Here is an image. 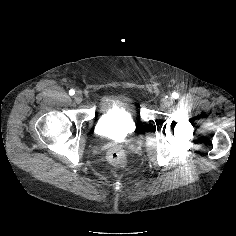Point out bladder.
Listing matches in <instances>:
<instances>
[{
	"label": "bladder",
	"mask_w": 236,
	"mask_h": 236,
	"mask_svg": "<svg viewBox=\"0 0 236 236\" xmlns=\"http://www.w3.org/2000/svg\"><path fill=\"white\" fill-rule=\"evenodd\" d=\"M137 126V119L130 103L118 100L102 112L96 123V131L106 137L130 136L136 131Z\"/></svg>",
	"instance_id": "bladder-1"
}]
</instances>
